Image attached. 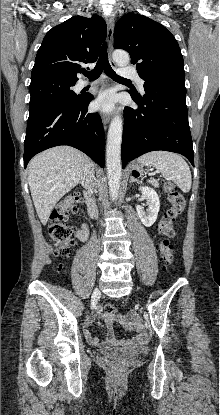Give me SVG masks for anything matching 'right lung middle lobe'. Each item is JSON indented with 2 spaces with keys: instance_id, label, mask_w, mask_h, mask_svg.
I'll use <instances>...</instances> for the list:
<instances>
[{
  "instance_id": "obj_1",
  "label": "right lung middle lobe",
  "mask_w": 220,
  "mask_h": 415,
  "mask_svg": "<svg viewBox=\"0 0 220 415\" xmlns=\"http://www.w3.org/2000/svg\"><path fill=\"white\" fill-rule=\"evenodd\" d=\"M76 82L55 78H43L31 81L29 113L64 100H74L79 97L71 89Z\"/></svg>"
}]
</instances>
